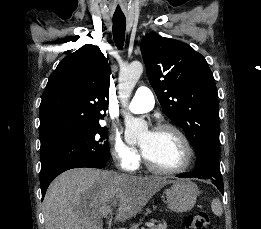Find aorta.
<instances>
[{
    "mask_svg": "<svg viewBox=\"0 0 261 229\" xmlns=\"http://www.w3.org/2000/svg\"><path fill=\"white\" fill-rule=\"evenodd\" d=\"M143 64L140 60H132L127 66L120 68V84H118L120 98L123 106H126L127 100L141 74ZM127 137H136L138 141L148 135V125L144 119H134L129 112H124Z\"/></svg>",
    "mask_w": 261,
    "mask_h": 229,
    "instance_id": "aorta-1",
    "label": "aorta"
}]
</instances>
